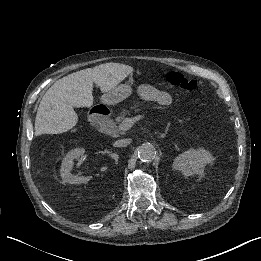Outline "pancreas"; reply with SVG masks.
Returning <instances> with one entry per match:
<instances>
[{
    "label": "pancreas",
    "mask_w": 261,
    "mask_h": 261,
    "mask_svg": "<svg viewBox=\"0 0 261 261\" xmlns=\"http://www.w3.org/2000/svg\"><path fill=\"white\" fill-rule=\"evenodd\" d=\"M131 111H132L135 115H139V114L141 113V110L138 108V106H137L136 104H133V105L131 106ZM127 114H129L128 111H123V112L121 113V115L114 120L113 123H116V124L119 126V125L121 124V121L125 119V116H126Z\"/></svg>",
    "instance_id": "1"
}]
</instances>
